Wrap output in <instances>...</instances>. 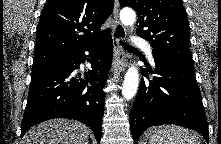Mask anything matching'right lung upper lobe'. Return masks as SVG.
<instances>
[{
  "label": "right lung upper lobe",
  "instance_id": "obj_1",
  "mask_svg": "<svg viewBox=\"0 0 221 144\" xmlns=\"http://www.w3.org/2000/svg\"><path fill=\"white\" fill-rule=\"evenodd\" d=\"M113 0H48L42 11L34 55H67L110 32L101 31Z\"/></svg>",
  "mask_w": 221,
  "mask_h": 144
}]
</instances>
